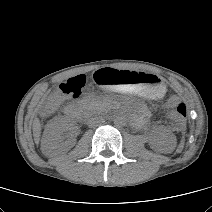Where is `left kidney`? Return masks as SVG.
<instances>
[{
	"label": "left kidney",
	"mask_w": 212,
	"mask_h": 212,
	"mask_svg": "<svg viewBox=\"0 0 212 212\" xmlns=\"http://www.w3.org/2000/svg\"><path fill=\"white\" fill-rule=\"evenodd\" d=\"M150 144L156 151L171 153L176 146V137L171 131L164 129L152 138Z\"/></svg>",
	"instance_id": "obj_1"
}]
</instances>
